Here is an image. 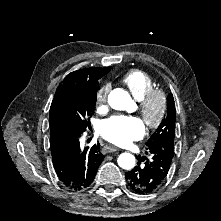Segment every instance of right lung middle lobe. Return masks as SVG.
I'll return each mask as SVG.
<instances>
[{"label": "right lung middle lobe", "instance_id": "dd1d6c3e", "mask_svg": "<svg viewBox=\"0 0 221 221\" xmlns=\"http://www.w3.org/2000/svg\"><path fill=\"white\" fill-rule=\"evenodd\" d=\"M96 90L86 86H68L56 92L60 125L51 130L50 141L66 133H83L96 104Z\"/></svg>", "mask_w": 221, "mask_h": 221}]
</instances>
